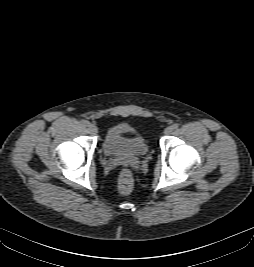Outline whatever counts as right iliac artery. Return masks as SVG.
I'll return each mask as SVG.
<instances>
[{
  "mask_svg": "<svg viewBox=\"0 0 254 267\" xmlns=\"http://www.w3.org/2000/svg\"><path fill=\"white\" fill-rule=\"evenodd\" d=\"M82 124H83L84 126H89L90 123H89V121L83 120Z\"/></svg>",
  "mask_w": 254,
  "mask_h": 267,
  "instance_id": "right-iliac-artery-1",
  "label": "right iliac artery"
}]
</instances>
